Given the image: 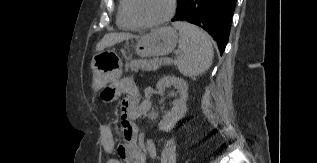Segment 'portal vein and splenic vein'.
I'll list each match as a JSON object with an SVG mask.
<instances>
[{
	"mask_svg": "<svg viewBox=\"0 0 317 163\" xmlns=\"http://www.w3.org/2000/svg\"><path fill=\"white\" fill-rule=\"evenodd\" d=\"M166 62H167V63H171L172 61H171V60H166Z\"/></svg>",
	"mask_w": 317,
	"mask_h": 163,
	"instance_id": "18ae733b",
	"label": "portal vein and splenic vein"
}]
</instances>
